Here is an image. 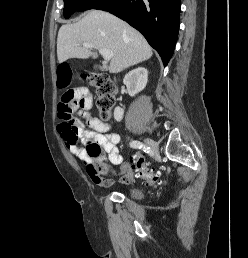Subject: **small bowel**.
Listing matches in <instances>:
<instances>
[{
  "label": "small bowel",
  "instance_id": "c3829d8e",
  "mask_svg": "<svg viewBox=\"0 0 248 258\" xmlns=\"http://www.w3.org/2000/svg\"><path fill=\"white\" fill-rule=\"evenodd\" d=\"M75 102V109H77L78 114L85 120L86 124L88 125L87 129L81 121H74V126L77 130V135L79 136V138L84 142L93 138L100 144L102 149L107 153V157L104 159L109 161L113 165L120 166L118 175L120 177L119 180L122 184H128L134 181L135 176L138 177V175H132V173H128L129 165L128 163L123 162V158L117 147L120 141L119 134L115 132H110L111 125L109 123L101 121L90 112L93 106V97L89 89L86 87L79 88L75 93ZM59 132L64 138L65 144L68 149L73 154H76L77 156L86 159L84 151L77 147L75 143L66 139V132L62 131L60 128ZM112 184V182L94 180V185H99L101 187H109Z\"/></svg>",
  "mask_w": 248,
  "mask_h": 258
}]
</instances>
